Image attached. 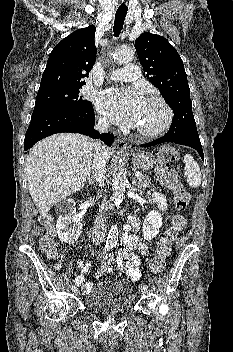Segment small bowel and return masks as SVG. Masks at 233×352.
Listing matches in <instances>:
<instances>
[{
    "label": "small bowel",
    "mask_w": 233,
    "mask_h": 352,
    "mask_svg": "<svg viewBox=\"0 0 233 352\" xmlns=\"http://www.w3.org/2000/svg\"><path fill=\"white\" fill-rule=\"evenodd\" d=\"M153 200L161 210H165L167 207L166 199L161 193L155 192L153 194ZM140 223L138 219L131 218L130 225L126 227V233L122 236V244L118 249L115 263L121 273L127 274L133 281H138L141 277L140 271V256L135 253L138 250L141 256L148 255L147 244L139 237ZM77 265L80 269V274L74 278L75 284L82 287L84 293H88L92 287V284L85 279L90 262L78 261Z\"/></svg>",
    "instance_id": "c3829d8e"
}]
</instances>
